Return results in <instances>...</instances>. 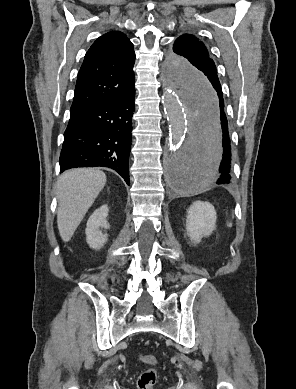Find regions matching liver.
I'll list each match as a JSON object with an SVG mask.
<instances>
[{"label":"liver","instance_id":"1","mask_svg":"<svg viewBox=\"0 0 296 389\" xmlns=\"http://www.w3.org/2000/svg\"><path fill=\"white\" fill-rule=\"evenodd\" d=\"M106 184L103 171L78 168L64 172L57 183V225L61 238L68 242Z\"/></svg>","mask_w":296,"mask_h":389}]
</instances>
